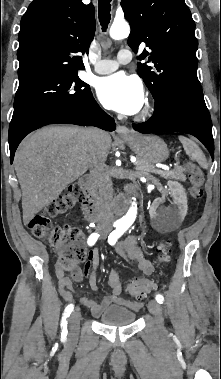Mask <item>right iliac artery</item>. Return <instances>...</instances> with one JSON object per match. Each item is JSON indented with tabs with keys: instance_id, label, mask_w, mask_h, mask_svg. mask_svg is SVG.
<instances>
[{
	"instance_id": "1",
	"label": "right iliac artery",
	"mask_w": 221,
	"mask_h": 379,
	"mask_svg": "<svg viewBox=\"0 0 221 379\" xmlns=\"http://www.w3.org/2000/svg\"><path fill=\"white\" fill-rule=\"evenodd\" d=\"M115 227V225H114ZM99 237V234L98 233H92L89 237H88V240H87V243L89 246H93L97 239ZM74 309V305L73 304H69L67 305V307L65 308L64 310V313H63V317H62V320H61V327H62V337H65L66 336V333H67V317L70 315V313L73 311Z\"/></svg>"
}]
</instances>
